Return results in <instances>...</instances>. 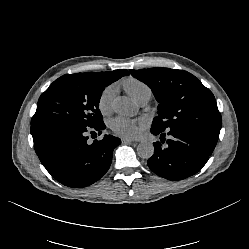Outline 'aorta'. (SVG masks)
I'll return each instance as SVG.
<instances>
[{
  "label": "aorta",
  "mask_w": 249,
  "mask_h": 249,
  "mask_svg": "<svg viewBox=\"0 0 249 249\" xmlns=\"http://www.w3.org/2000/svg\"><path fill=\"white\" fill-rule=\"evenodd\" d=\"M113 109L122 116H132L136 113V107L127 97H116L113 101ZM137 154L140 158L149 159L154 154V146L150 142L143 141L137 146Z\"/></svg>",
  "instance_id": "aorta-1"
}]
</instances>
